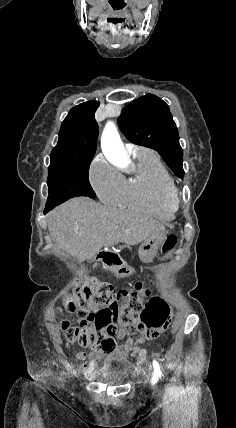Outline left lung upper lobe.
Instances as JSON below:
<instances>
[{
  "label": "left lung upper lobe",
  "mask_w": 236,
  "mask_h": 428,
  "mask_svg": "<svg viewBox=\"0 0 236 428\" xmlns=\"http://www.w3.org/2000/svg\"><path fill=\"white\" fill-rule=\"evenodd\" d=\"M118 124L129 141L156 150L170 169L183 177L178 130L163 100L153 94L134 100L122 110Z\"/></svg>",
  "instance_id": "left-lung-upper-lobe-1"
}]
</instances>
